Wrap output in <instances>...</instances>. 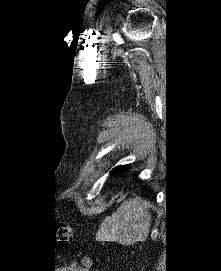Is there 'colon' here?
<instances>
[{"label":"colon","mask_w":221,"mask_h":271,"mask_svg":"<svg viewBox=\"0 0 221 271\" xmlns=\"http://www.w3.org/2000/svg\"><path fill=\"white\" fill-rule=\"evenodd\" d=\"M73 239V229L70 224H61L56 231V241L58 244L66 245Z\"/></svg>","instance_id":"5ec220e1"}]
</instances>
